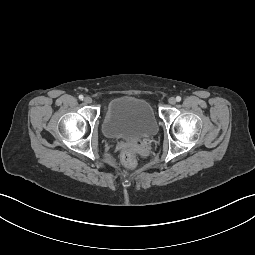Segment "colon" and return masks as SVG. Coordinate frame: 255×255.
I'll return each mask as SVG.
<instances>
[{
    "label": "colon",
    "instance_id": "obj_1",
    "mask_svg": "<svg viewBox=\"0 0 255 255\" xmlns=\"http://www.w3.org/2000/svg\"><path fill=\"white\" fill-rule=\"evenodd\" d=\"M121 162L128 168L133 169L136 166V153L134 147L131 145L124 146L121 150Z\"/></svg>",
    "mask_w": 255,
    "mask_h": 255
}]
</instances>
